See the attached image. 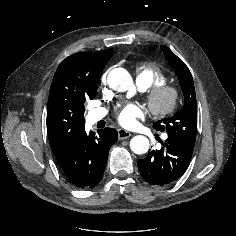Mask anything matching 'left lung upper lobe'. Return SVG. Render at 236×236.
I'll use <instances>...</instances> for the list:
<instances>
[{
  "label": "left lung upper lobe",
  "mask_w": 236,
  "mask_h": 236,
  "mask_svg": "<svg viewBox=\"0 0 236 236\" xmlns=\"http://www.w3.org/2000/svg\"><path fill=\"white\" fill-rule=\"evenodd\" d=\"M167 60L176 72L184 94V105L174 116L153 124L157 131H165L168 138L194 148L197 132V103L191 73L186 64L165 45L161 46Z\"/></svg>",
  "instance_id": "5c2ea615"
}]
</instances>
